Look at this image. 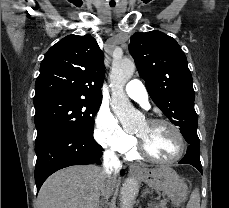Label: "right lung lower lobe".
I'll use <instances>...</instances> for the list:
<instances>
[{"label":"right lung lower lobe","instance_id":"obj_1","mask_svg":"<svg viewBox=\"0 0 229 208\" xmlns=\"http://www.w3.org/2000/svg\"><path fill=\"white\" fill-rule=\"evenodd\" d=\"M35 152V183L38 193L44 181L59 169L71 165L100 164L102 147L93 135L65 129L36 143Z\"/></svg>","mask_w":229,"mask_h":208}]
</instances>
